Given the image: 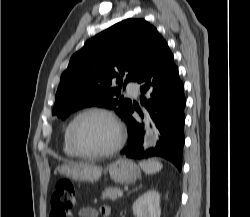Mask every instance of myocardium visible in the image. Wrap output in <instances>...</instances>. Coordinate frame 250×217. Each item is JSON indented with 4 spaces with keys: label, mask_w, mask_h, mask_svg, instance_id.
<instances>
[{
    "label": "myocardium",
    "mask_w": 250,
    "mask_h": 217,
    "mask_svg": "<svg viewBox=\"0 0 250 217\" xmlns=\"http://www.w3.org/2000/svg\"><path fill=\"white\" fill-rule=\"evenodd\" d=\"M88 114H101L109 119L115 129V141L114 143L107 149L95 153H88L82 151L74 140V126L76 122L81 119L82 117ZM67 138L69 145L74 150V152L82 158L87 159H100L104 157H109L117 153L123 146L125 141V130L123 124L121 123L120 119L116 116V114L110 110L109 108L103 106H91L87 107L80 112H78L70 121L67 127Z\"/></svg>",
    "instance_id": "obj_1"
}]
</instances>
